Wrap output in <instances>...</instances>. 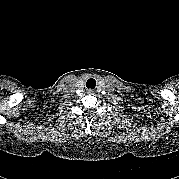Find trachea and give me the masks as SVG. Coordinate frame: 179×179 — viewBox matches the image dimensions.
Segmentation results:
<instances>
[{"label":"trachea","instance_id":"obj_1","mask_svg":"<svg viewBox=\"0 0 179 179\" xmlns=\"http://www.w3.org/2000/svg\"><path fill=\"white\" fill-rule=\"evenodd\" d=\"M86 87L90 89H94L96 87V80L94 78H89L86 82Z\"/></svg>","mask_w":179,"mask_h":179}]
</instances>
